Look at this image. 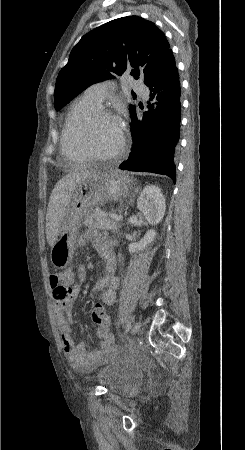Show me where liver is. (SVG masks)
Segmentation results:
<instances>
[{
  "label": "liver",
  "instance_id": "6515ba94",
  "mask_svg": "<svg viewBox=\"0 0 245 450\" xmlns=\"http://www.w3.org/2000/svg\"><path fill=\"white\" fill-rule=\"evenodd\" d=\"M97 170L84 168L70 172L60 179L52 190L46 213V238L48 244L54 245L60 224L77 185L96 173Z\"/></svg>",
  "mask_w": 245,
  "mask_h": 450
}]
</instances>
